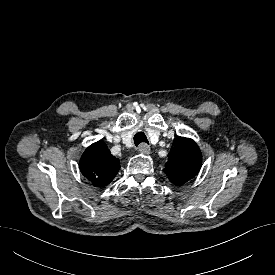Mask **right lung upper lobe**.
I'll list each match as a JSON object with an SVG mask.
<instances>
[{
	"mask_svg": "<svg viewBox=\"0 0 275 275\" xmlns=\"http://www.w3.org/2000/svg\"><path fill=\"white\" fill-rule=\"evenodd\" d=\"M119 169V159L110 153L102 141L90 145L80 159L82 174L97 187L108 185Z\"/></svg>",
	"mask_w": 275,
	"mask_h": 275,
	"instance_id": "cb5924a9",
	"label": "right lung upper lobe"
}]
</instances>
